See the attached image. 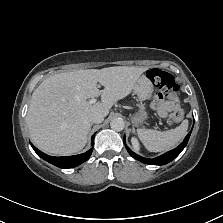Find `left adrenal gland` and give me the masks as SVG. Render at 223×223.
<instances>
[{
    "instance_id": "obj_1",
    "label": "left adrenal gland",
    "mask_w": 223,
    "mask_h": 223,
    "mask_svg": "<svg viewBox=\"0 0 223 223\" xmlns=\"http://www.w3.org/2000/svg\"><path fill=\"white\" fill-rule=\"evenodd\" d=\"M132 132L135 133L136 132V129H135V125L132 124Z\"/></svg>"
}]
</instances>
